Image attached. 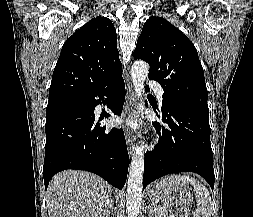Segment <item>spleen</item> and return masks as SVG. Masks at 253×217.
Wrapping results in <instances>:
<instances>
[{
  "instance_id": "spleen-1",
  "label": "spleen",
  "mask_w": 253,
  "mask_h": 217,
  "mask_svg": "<svg viewBox=\"0 0 253 217\" xmlns=\"http://www.w3.org/2000/svg\"><path fill=\"white\" fill-rule=\"evenodd\" d=\"M171 178L178 182L192 184L196 194L198 214L200 215L197 217H211V197L207 188L201 182L188 175H172Z\"/></svg>"
}]
</instances>
